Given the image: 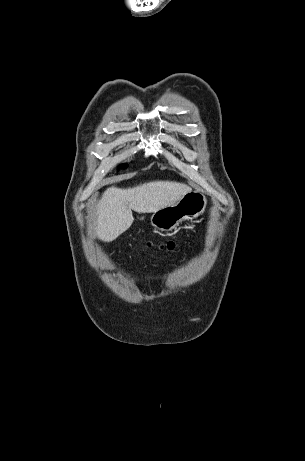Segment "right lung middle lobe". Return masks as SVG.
Returning a JSON list of instances; mask_svg holds the SVG:
<instances>
[{"label":"right lung middle lobe","instance_id":"right-lung-middle-lobe-1","mask_svg":"<svg viewBox=\"0 0 305 461\" xmlns=\"http://www.w3.org/2000/svg\"><path fill=\"white\" fill-rule=\"evenodd\" d=\"M126 167H127V165L124 164V165H121L119 168H126Z\"/></svg>","mask_w":305,"mask_h":461}]
</instances>
